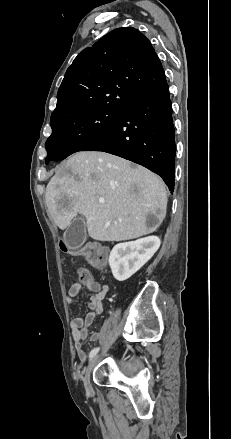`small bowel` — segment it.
Returning <instances> with one entry per match:
<instances>
[{
	"label": "small bowel",
	"instance_id": "obj_1",
	"mask_svg": "<svg viewBox=\"0 0 231 439\" xmlns=\"http://www.w3.org/2000/svg\"><path fill=\"white\" fill-rule=\"evenodd\" d=\"M82 288H86L91 292L89 298L90 312L82 317H76L71 321L72 336L74 341V347L77 352L80 361H85L87 354L83 350V342L89 337V329L95 322L96 318L102 314L103 306L102 301L109 291L107 285H102L99 281L94 279L91 275L86 282H77L71 285L67 292V302L72 303L73 300L80 294ZM101 336V332H94L89 338L91 341H97Z\"/></svg>",
	"mask_w": 231,
	"mask_h": 439
}]
</instances>
